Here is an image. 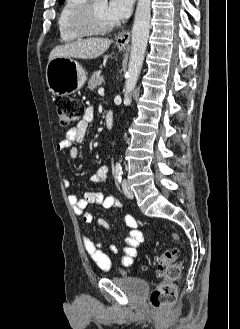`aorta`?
<instances>
[{
    "label": "aorta",
    "mask_w": 240,
    "mask_h": 329,
    "mask_svg": "<svg viewBox=\"0 0 240 329\" xmlns=\"http://www.w3.org/2000/svg\"><path fill=\"white\" fill-rule=\"evenodd\" d=\"M105 2L107 0H104ZM151 19V0H138L134 24L128 72L124 87V104L131 103V93L138 81L147 48Z\"/></svg>",
    "instance_id": "1"
}]
</instances>
